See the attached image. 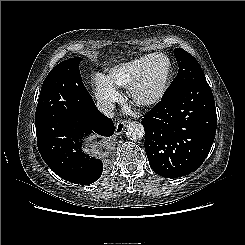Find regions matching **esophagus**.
I'll list each match as a JSON object with an SVG mask.
<instances>
[{"instance_id":"esophagus-1","label":"esophagus","mask_w":245,"mask_h":245,"mask_svg":"<svg viewBox=\"0 0 245 245\" xmlns=\"http://www.w3.org/2000/svg\"><path fill=\"white\" fill-rule=\"evenodd\" d=\"M129 121L127 120H121L119 121L117 124H116V130H115V133L117 135H120L123 130H124V127L128 124Z\"/></svg>"}]
</instances>
